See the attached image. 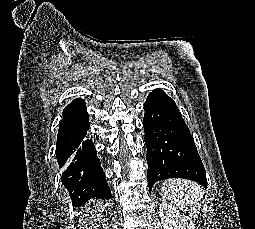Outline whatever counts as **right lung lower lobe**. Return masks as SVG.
Instances as JSON below:
<instances>
[{
  "label": "right lung lower lobe",
  "mask_w": 255,
  "mask_h": 229,
  "mask_svg": "<svg viewBox=\"0 0 255 229\" xmlns=\"http://www.w3.org/2000/svg\"><path fill=\"white\" fill-rule=\"evenodd\" d=\"M88 120L84 101L81 98L73 100L63 110L57 136L56 158L59 167L66 168L61 179L74 206L84 205L94 197H111L95 146L86 137Z\"/></svg>",
  "instance_id": "obj_1"
}]
</instances>
